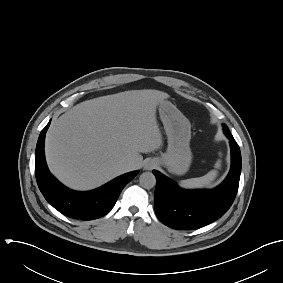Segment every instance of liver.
Wrapping results in <instances>:
<instances>
[{"instance_id":"6515ba94","label":"liver","mask_w":283,"mask_h":283,"mask_svg":"<svg viewBox=\"0 0 283 283\" xmlns=\"http://www.w3.org/2000/svg\"><path fill=\"white\" fill-rule=\"evenodd\" d=\"M169 98L158 90H131L83 101L54 120L45 153L50 171L65 185L90 190L141 166V153L162 145L156 108Z\"/></svg>"}]
</instances>
